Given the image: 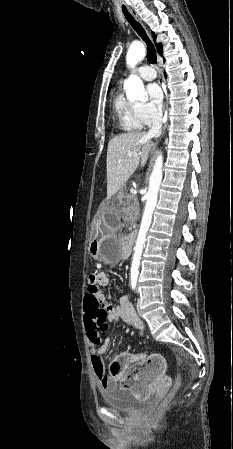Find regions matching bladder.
<instances>
[{"label": "bladder", "mask_w": 233, "mask_h": 449, "mask_svg": "<svg viewBox=\"0 0 233 449\" xmlns=\"http://www.w3.org/2000/svg\"><path fill=\"white\" fill-rule=\"evenodd\" d=\"M104 402L111 408L126 412L135 413L151 407V400H138L133 392L126 388L107 389L102 392Z\"/></svg>", "instance_id": "1"}]
</instances>
